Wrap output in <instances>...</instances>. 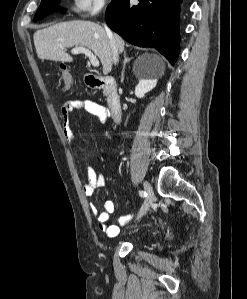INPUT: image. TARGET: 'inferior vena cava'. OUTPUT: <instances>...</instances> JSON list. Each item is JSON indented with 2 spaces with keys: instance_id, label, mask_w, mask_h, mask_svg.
<instances>
[{
  "instance_id": "inferior-vena-cava-1",
  "label": "inferior vena cava",
  "mask_w": 247,
  "mask_h": 299,
  "mask_svg": "<svg viewBox=\"0 0 247 299\" xmlns=\"http://www.w3.org/2000/svg\"><path fill=\"white\" fill-rule=\"evenodd\" d=\"M104 27H105V31H106L107 35L110 38V43H111V48H112V53H113V62H114V64H116L118 62V51H117V48L115 45L113 34H112L111 30L107 27V25H104Z\"/></svg>"
}]
</instances>
